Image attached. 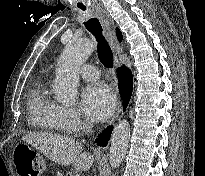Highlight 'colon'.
I'll return each instance as SVG.
<instances>
[{"label":"colon","mask_w":205,"mask_h":176,"mask_svg":"<svg viewBox=\"0 0 205 176\" xmlns=\"http://www.w3.org/2000/svg\"><path fill=\"white\" fill-rule=\"evenodd\" d=\"M13 158L20 176H40L44 171V159L39 153L28 147L16 148Z\"/></svg>","instance_id":"obj_1"}]
</instances>
